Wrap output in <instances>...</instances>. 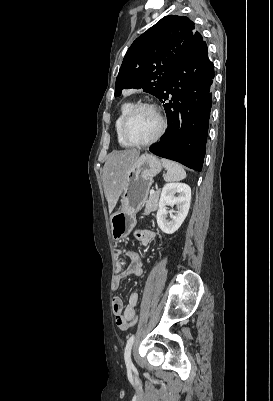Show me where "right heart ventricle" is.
Returning <instances> with one entry per match:
<instances>
[{
    "label": "right heart ventricle",
    "mask_w": 273,
    "mask_h": 401,
    "mask_svg": "<svg viewBox=\"0 0 273 401\" xmlns=\"http://www.w3.org/2000/svg\"><path fill=\"white\" fill-rule=\"evenodd\" d=\"M133 106H134V103H132L130 101L122 102L118 107L117 115H116L115 122H114V129H115V133L117 136L118 144L123 148H130L131 146L122 139L121 133H120V127H121V123H122L123 119L125 118V116L127 115V113L131 110V108Z\"/></svg>",
    "instance_id": "obj_1"
}]
</instances>
